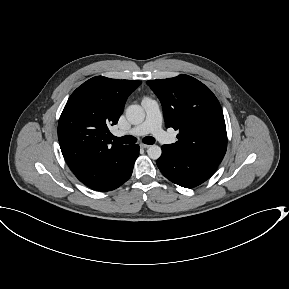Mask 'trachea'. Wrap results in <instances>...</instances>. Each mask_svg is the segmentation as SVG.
<instances>
[{"instance_id": "obj_1", "label": "trachea", "mask_w": 289, "mask_h": 289, "mask_svg": "<svg viewBox=\"0 0 289 289\" xmlns=\"http://www.w3.org/2000/svg\"><path fill=\"white\" fill-rule=\"evenodd\" d=\"M111 139L114 140L117 143H121V144H134L136 143L137 139L134 136H123V137H116V136H111ZM143 143L145 144H154L155 143V139L151 136H146L143 138Z\"/></svg>"}]
</instances>
